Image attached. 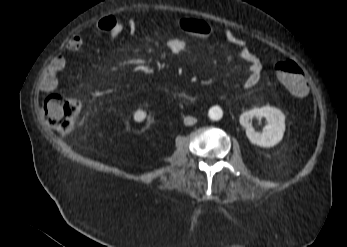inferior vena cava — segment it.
I'll return each mask as SVG.
<instances>
[{
	"mask_svg": "<svg viewBox=\"0 0 347 247\" xmlns=\"http://www.w3.org/2000/svg\"><path fill=\"white\" fill-rule=\"evenodd\" d=\"M196 122H197V119L195 117L188 116V117L184 118V124L185 125H193Z\"/></svg>",
	"mask_w": 347,
	"mask_h": 247,
	"instance_id": "inferior-vena-cava-1",
	"label": "inferior vena cava"
}]
</instances>
